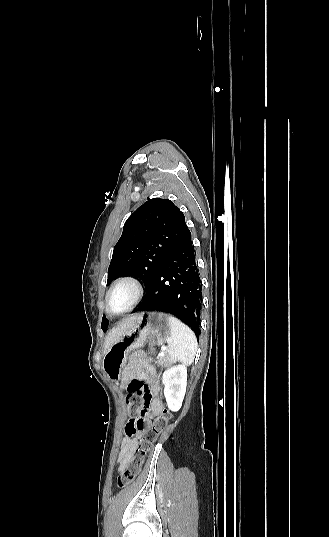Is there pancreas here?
Wrapping results in <instances>:
<instances>
[{
  "label": "pancreas",
  "instance_id": "1",
  "mask_svg": "<svg viewBox=\"0 0 329 537\" xmlns=\"http://www.w3.org/2000/svg\"><path fill=\"white\" fill-rule=\"evenodd\" d=\"M157 362H158L159 365L167 367V366H169L171 364L172 361L170 360L168 355L166 353H164L163 355H158Z\"/></svg>",
  "mask_w": 329,
  "mask_h": 537
}]
</instances>
